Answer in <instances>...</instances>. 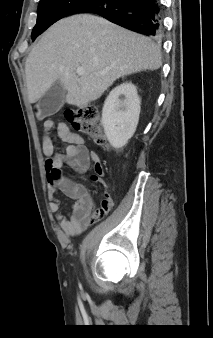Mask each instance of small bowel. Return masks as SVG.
<instances>
[{"instance_id":"small-bowel-1","label":"small bowel","mask_w":213,"mask_h":338,"mask_svg":"<svg viewBox=\"0 0 213 338\" xmlns=\"http://www.w3.org/2000/svg\"><path fill=\"white\" fill-rule=\"evenodd\" d=\"M56 130V137L66 143L65 152L55 151L53 130ZM43 152L45 170L50 166L51 160L56 162L58 167L67 165L81 173L86 172L91 163H94L101 170L99 157L95 152H90L85 146L83 138L70 130L65 123H55L46 120L43 124ZM62 192L67 198L73 200L72 211L66 216L60 211V203L55 195ZM48 193L52 198L50 210L55 213L58 225L69 235L79 234L85 227L95 221V211H92V195L87 187L67 177H61L55 182L48 184ZM103 200H108L113 205V199L105 195Z\"/></svg>"}]
</instances>
